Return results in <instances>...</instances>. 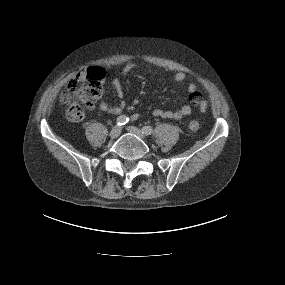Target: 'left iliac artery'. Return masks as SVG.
Masks as SVG:
<instances>
[{
    "label": "left iliac artery",
    "instance_id": "left-iliac-artery-1",
    "mask_svg": "<svg viewBox=\"0 0 285 285\" xmlns=\"http://www.w3.org/2000/svg\"><path fill=\"white\" fill-rule=\"evenodd\" d=\"M153 132V128L151 126H144L142 128V133L145 135H150Z\"/></svg>",
    "mask_w": 285,
    "mask_h": 285
}]
</instances>
